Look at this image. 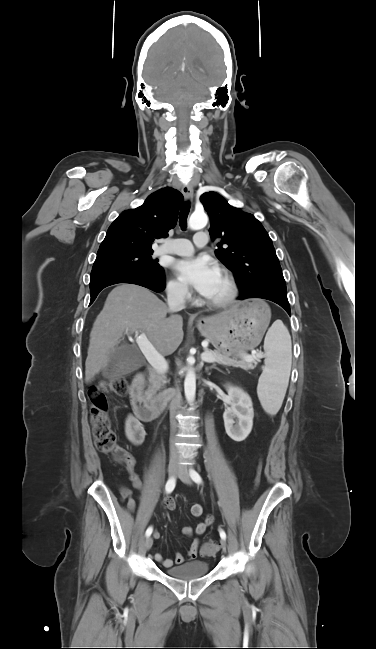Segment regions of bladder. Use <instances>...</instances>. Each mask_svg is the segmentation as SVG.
<instances>
[{
    "instance_id": "bladder-1",
    "label": "bladder",
    "mask_w": 376,
    "mask_h": 649,
    "mask_svg": "<svg viewBox=\"0 0 376 649\" xmlns=\"http://www.w3.org/2000/svg\"><path fill=\"white\" fill-rule=\"evenodd\" d=\"M209 571L210 567L207 562L194 561L184 565L171 567L165 572L168 576H171L174 579L190 581L205 576Z\"/></svg>"
}]
</instances>
